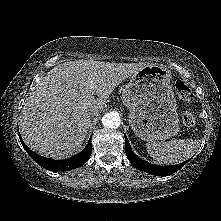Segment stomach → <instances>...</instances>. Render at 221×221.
Segmentation results:
<instances>
[{"instance_id": "stomach-1", "label": "stomach", "mask_w": 221, "mask_h": 221, "mask_svg": "<svg viewBox=\"0 0 221 221\" xmlns=\"http://www.w3.org/2000/svg\"><path fill=\"white\" fill-rule=\"evenodd\" d=\"M171 78L166 67L145 65L132 74L122 92L123 104L129 110V124L144 141H164L179 131Z\"/></svg>"}]
</instances>
